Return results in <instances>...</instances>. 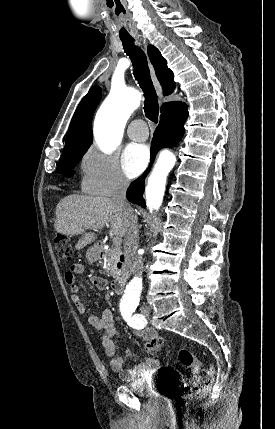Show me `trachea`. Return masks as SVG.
I'll return each instance as SVG.
<instances>
[{"instance_id":"1","label":"trachea","mask_w":275,"mask_h":429,"mask_svg":"<svg viewBox=\"0 0 275 429\" xmlns=\"http://www.w3.org/2000/svg\"><path fill=\"white\" fill-rule=\"evenodd\" d=\"M124 47V51L130 57L133 65V74L138 81L145 97L144 111L146 117L154 123L158 121L159 104L157 100L156 91L154 89L150 71L147 64V58L144 52L134 45L132 37L120 38Z\"/></svg>"}]
</instances>
